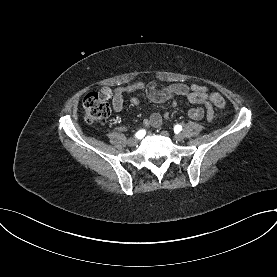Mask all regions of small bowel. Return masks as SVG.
<instances>
[{
	"label": "small bowel",
	"instance_id": "c3829d8e",
	"mask_svg": "<svg viewBox=\"0 0 277 277\" xmlns=\"http://www.w3.org/2000/svg\"><path fill=\"white\" fill-rule=\"evenodd\" d=\"M102 90L107 91L109 96L112 95V106L116 112L122 111L125 94L142 91L151 101L155 103H164L166 101L173 100L177 96H186L191 104L198 106L188 109L187 115L191 119L200 120L203 118L205 111L202 107H204L207 111L208 121H211L213 118L210 90L206 86L198 84L186 85L182 83H174L158 88L153 82L144 83L142 81H135L124 86L117 87L113 91L108 88H103ZM131 103L134 107L140 109V101L138 98L133 97L131 99ZM168 117L169 114H165V118ZM162 121L163 116L161 114L153 113L148 118L144 119V124L146 126L158 128L161 126Z\"/></svg>",
	"mask_w": 277,
	"mask_h": 277
}]
</instances>
